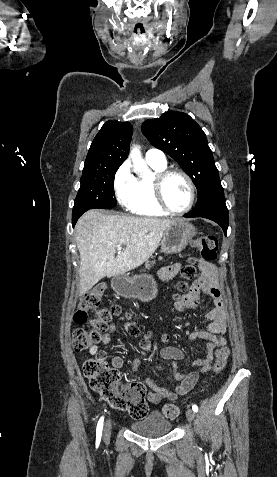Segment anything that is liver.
Segmentation results:
<instances>
[{"label":"liver","instance_id":"6515ba94","mask_svg":"<svg viewBox=\"0 0 277 477\" xmlns=\"http://www.w3.org/2000/svg\"><path fill=\"white\" fill-rule=\"evenodd\" d=\"M173 219L105 215L89 210L78 220L75 232L80 254L79 295L105 276L123 274L141 266L157 249ZM125 249L115 257L116 246Z\"/></svg>","mask_w":277,"mask_h":477}]
</instances>
